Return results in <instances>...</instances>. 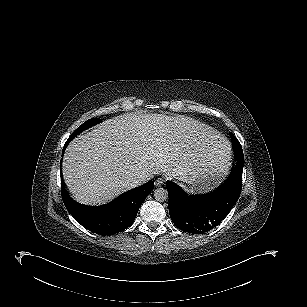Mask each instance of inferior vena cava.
Segmentation results:
<instances>
[{
    "instance_id": "obj_1",
    "label": "inferior vena cava",
    "mask_w": 307,
    "mask_h": 307,
    "mask_svg": "<svg viewBox=\"0 0 307 307\" xmlns=\"http://www.w3.org/2000/svg\"><path fill=\"white\" fill-rule=\"evenodd\" d=\"M149 180V178H147L146 176H139L134 178L131 182H130V187L131 188H135L137 186L142 185L143 183L147 182Z\"/></svg>"
}]
</instances>
